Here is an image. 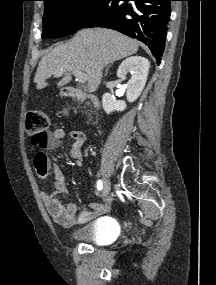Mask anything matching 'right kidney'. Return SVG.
<instances>
[{"label": "right kidney", "instance_id": "1", "mask_svg": "<svg viewBox=\"0 0 216 285\" xmlns=\"http://www.w3.org/2000/svg\"><path fill=\"white\" fill-rule=\"evenodd\" d=\"M150 62L145 57L132 56L125 59L119 66L117 77L125 79L126 75L132 73L131 79L127 83V100L134 102L141 94L149 72ZM102 106L107 114L113 111H124L126 103L116 100L110 93H105L102 97Z\"/></svg>", "mask_w": 216, "mask_h": 285}]
</instances>
